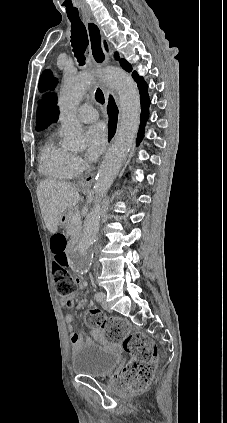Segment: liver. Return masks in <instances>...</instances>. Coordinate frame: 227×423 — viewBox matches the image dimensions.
<instances>
[{"mask_svg": "<svg viewBox=\"0 0 227 423\" xmlns=\"http://www.w3.org/2000/svg\"><path fill=\"white\" fill-rule=\"evenodd\" d=\"M37 196L48 231L56 233L64 211L72 210L80 200L79 192L68 182L43 180L37 186Z\"/></svg>", "mask_w": 227, "mask_h": 423, "instance_id": "6515ba94", "label": "liver"}]
</instances>
